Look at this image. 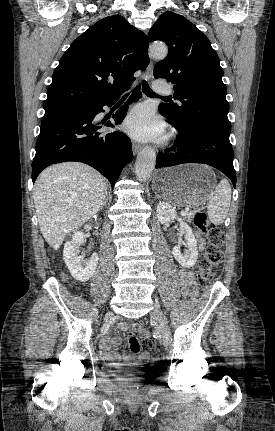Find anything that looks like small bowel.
Instances as JSON below:
<instances>
[{
  "instance_id": "small-bowel-1",
  "label": "small bowel",
  "mask_w": 275,
  "mask_h": 431,
  "mask_svg": "<svg viewBox=\"0 0 275 431\" xmlns=\"http://www.w3.org/2000/svg\"><path fill=\"white\" fill-rule=\"evenodd\" d=\"M197 240H198L199 249H203L205 243L198 234H197ZM179 278H180V285L183 293L188 297H194L196 295V286L194 283L193 271L186 268H180ZM119 328L121 330H134L138 332L143 338L145 339L148 338V332L139 325L122 323L119 326ZM120 343H121V339L119 336L105 335L100 341V349H101L102 356L105 359L110 361H117L119 359H124V360L130 359V356L128 355H124L120 357V355L115 350H113Z\"/></svg>"
}]
</instances>
